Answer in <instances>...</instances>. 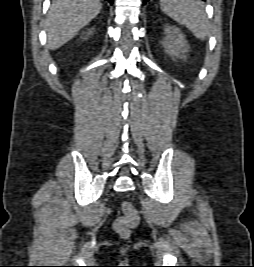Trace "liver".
I'll use <instances>...</instances> for the list:
<instances>
[{
    "label": "liver",
    "instance_id": "6515ba94",
    "mask_svg": "<svg viewBox=\"0 0 254 267\" xmlns=\"http://www.w3.org/2000/svg\"><path fill=\"white\" fill-rule=\"evenodd\" d=\"M101 9L100 0H54L46 20L47 47L55 50L63 46Z\"/></svg>",
    "mask_w": 254,
    "mask_h": 267
}]
</instances>
